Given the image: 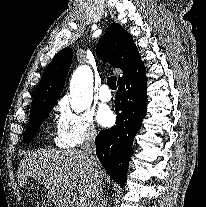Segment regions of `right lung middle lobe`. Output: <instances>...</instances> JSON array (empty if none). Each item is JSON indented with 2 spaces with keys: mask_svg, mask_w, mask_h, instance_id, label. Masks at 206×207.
Segmentation results:
<instances>
[{
  "mask_svg": "<svg viewBox=\"0 0 206 207\" xmlns=\"http://www.w3.org/2000/svg\"><path fill=\"white\" fill-rule=\"evenodd\" d=\"M53 107V104H47L30 111V120L24 135V141L26 143L30 142V140L35 137L44 118L49 114Z\"/></svg>",
  "mask_w": 206,
  "mask_h": 207,
  "instance_id": "1",
  "label": "right lung middle lobe"
}]
</instances>
